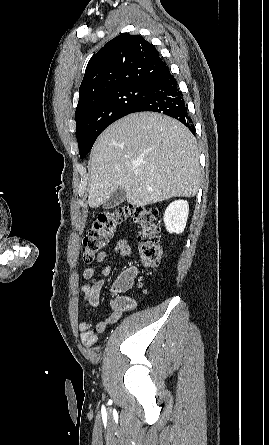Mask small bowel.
I'll use <instances>...</instances> for the list:
<instances>
[{"label": "small bowel", "mask_w": 269, "mask_h": 445, "mask_svg": "<svg viewBox=\"0 0 269 445\" xmlns=\"http://www.w3.org/2000/svg\"><path fill=\"white\" fill-rule=\"evenodd\" d=\"M114 250L124 258H130L133 255L131 244L126 239H120L115 243ZM106 252H101L97 256V262L102 263L106 260ZM110 273V266L105 265L99 273L95 267H87L83 271V278L87 283L80 287L84 299V313L91 308L99 305L101 291L105 284V279ZM125 276H130L132 281L136 276L135 268H129L123 272L116 281ZM137 301L131 297L117 296L109 301L110 312L102 320L93 323L91 321H81L78 325L80 339L86 347H92L98 339V334L103 333L110 325L116 323L122 314L135 309Z\"/></svg>", "instance_id": "1"}]
</instances>
